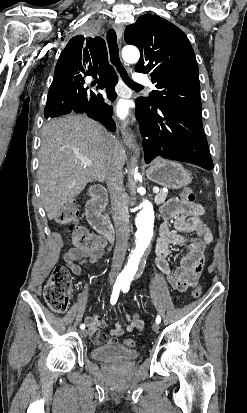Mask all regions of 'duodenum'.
Returning a JSON list of instances; mask_svg holds the SVG:
<instances>
[{"label":"duodenum","mask_w":247,"mask_h":413,"mask_svg":"<svg viewBox=\"0 0 247 413\" xmlns=\"http://www.w3.org/2000/svg\"><path fill=\"white\" fill-rule=\"evenodd\" d=\"M108 200L107 191L102 186H96L90 194L86 205V216L91 226L106 238L114 239V230L111 224L102 216L101 212L106 207Z\"/></svg>","instance_id":"duodenum-1"}]
</instances>
